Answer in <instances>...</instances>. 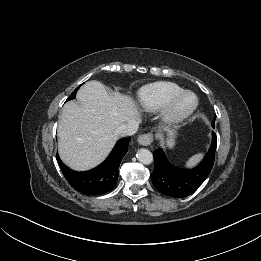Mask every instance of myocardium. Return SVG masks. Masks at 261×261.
I'll use <instances>...</instances> for the list:
<instances>
[{"mask_svg": "<svg viewBox=\"0 0 261 261\" xmlns=\"http://www.w3.org/2000/svg\"><path fill=\"white\" fill-rule=\"evenodd\" d=\"M192 96L194 101L191 106L186 109H179L178 105L180 101L186 97ZM199 98L198 96L189 90H183L182 92L175 95L163 108L162 111V120L168 126H176L183 121H185L188 117H190L195 110L198 108Z\"/></svg>", "mask_w": 261, "mask_h": 261, "instance_id": "obj_1", "label": "myocardium"}]
</instances>
